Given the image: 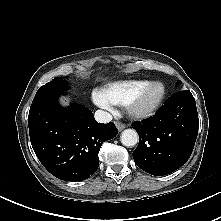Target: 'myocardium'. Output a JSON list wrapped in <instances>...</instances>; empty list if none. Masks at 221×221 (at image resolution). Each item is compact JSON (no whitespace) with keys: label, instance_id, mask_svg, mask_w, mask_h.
Here are the masks:
<instances>
[{"label":"myocardium","instance_id":"f54148a6","mask_svg":"<svg viewBox=\"0 0 221 221\" xmlns=\"http://www.w3.org/2000/svg\"><path fill=\"white\" fill-rule=\"evenodd\" d=\"M158 89L156 98L149 104L143 103L145 94L153 89ZM166 95V88L163 83L159 81H153L146 84L139 92L127 103V114L136 120H144L153 116L161 106Z\"/></svg>","mask_w":221,"mask_h":221}]
</instances>
